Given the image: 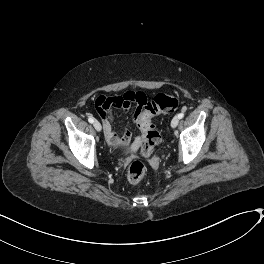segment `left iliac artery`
<instances>
[{
    "instance_id": "1",
    "label": "left iliac artery",
    "mask_w": 264,
    "mask_h": 264,
    "mask_svg": "<svg viewBox=\"0 0 264 264\" xmlns=\"http://www.w3.org/2000/svg\"><path fill=\"white\" fill-rule=\"evenodd\" d=\"M178 117H179V119H182L184 117V113H179Z\"/></svg>"
}]
</instances>
